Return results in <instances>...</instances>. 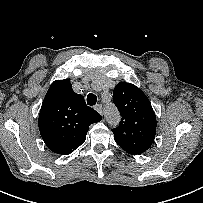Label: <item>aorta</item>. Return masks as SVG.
<instances>
[{"instance_id": "aorta-1", "label": "aorta", "mask_w": 203, "mask_h": 203, "mask_svg": "<svg viewBox=\"0 0 203 203\" xmlns=\"http://www.w3.org/2000/svg\"><path fill=\"white\" fill-rule=\"evenodd\" d=\"M106 118L110 121H113L114 119H118V113H117V110L109 105L106 109Z\"/></svg>"}]
</instances>
